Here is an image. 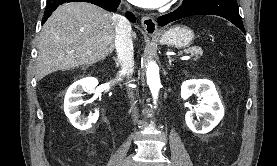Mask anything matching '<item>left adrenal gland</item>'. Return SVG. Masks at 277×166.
<instances>
[{
  "instance_id": "a2214340",
  "label": "left adrenal gland",
  "mask_w": 277,
  "mask_h": 166,
  "mask_svg": "<svg viewBox=\"0 0 277 166\" xmlns=\"http://www.w3.org/2000/svg\"><path fill=\"white\" fill-rule=\"evenodd\" d=\"M167 58H168V67L170 68V66L172 65L173 59L170 56H167Z\"/></svg>"
}]
</instances>
